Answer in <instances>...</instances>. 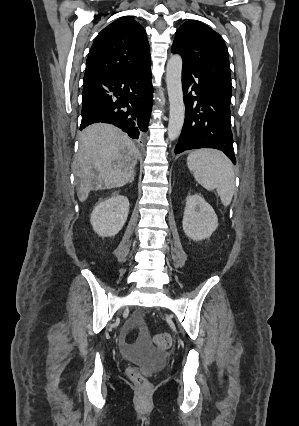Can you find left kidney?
Listing matches in <instances>:
<instances>
[{"label":"left kidney","instance_id":"5707ae66","mask_svg":"<svg viewBox=\"0 0 299 426\" xmlns=\"http://www.w3.org/2000/svg\"><path fill=\"white\" fill-rule=\"evenodd\" d=\"M183 230L192 240L209 238L218 227V218L212 206L198 194L187 196L183 216Z\"/></svg>","mask_w":299,"mask_h":426}]
</instances>
